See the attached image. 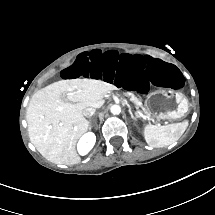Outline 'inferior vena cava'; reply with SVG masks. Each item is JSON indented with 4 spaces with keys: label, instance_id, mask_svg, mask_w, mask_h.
<instances>
[{
    "label": "inferior vena cava",
    "instance_id": "inferior-vena-cava-1",
    "mask_svg": "<svg viewBox=\"0 0 215 215\" xmlns=\"http://www.w3.org/2000/svg\"><path fill=\"white\" fill-rule=\"evenodd\" d=\"M95 111L96 110H95L94 107H86V108L83 109L82 114H83L84 117L90 118L91 116L94 115Z\"/></svg>",
    "mask_w": 215,
    "mask_h": 215
}]
</instances>
